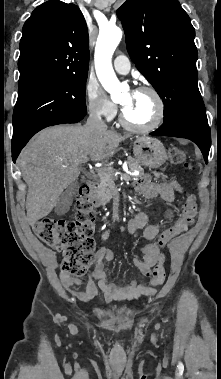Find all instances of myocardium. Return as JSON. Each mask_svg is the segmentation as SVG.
<instances>
[{"instance_id":"obj_1","label":"myocardium","mask_w":221,"mask_h":379,"mask_svg":"<svg viewBox=\"0 0 221 379\" xmlns=\"http://www.w3.org/2000/svg\"><path fill=\"white\" fill-rule=\"evenodd\" d=\"M137 92L148 93L153 97L156 105V112L153 120L146 125L134 124L126 118L122 109L120 113V122L125 128L135 132L147 133L154 131L162 124L165 117V104L163 98L160 93L152 86H141L138 88Z\"/></svg>"}]
</instances>
